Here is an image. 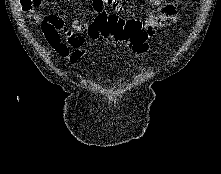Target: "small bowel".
I'll return each instance as SVG.
<instances>
[{"label": "small bowel", "instance_id": "1", "mask_svg": "<svg viewBox=\"0 0 221 174\" xmlns=\"http://www.w3.org/2000/svg\"><path fill=\"white\" fill-rule=\"evenodd\" d=\"M145 1L152 6L158 7L156 11L150 12L144 21L143 26L148 37H152L156 29L170 26L177 21V8L173 3L165 2L164 0ZM38 8L34 14V21L40 25L42 33L50 46L59 55L69 58L71 62H76L80 59L84 54L82 47L84 43L83 37L66 28L62 19L56 16L44 17ZM92 8L93 20L96 16L105 14L106 8H111L118 13L124 10L120 0H93ZM92 22L85 23L76 19L72 22V27L78 33H85ZM60 32L65 35V42L60 40ZM69 47H73L75 50L70 52Z\"/></svg>", "mask_w": 221, "mask_h": 174}]
</instances>
